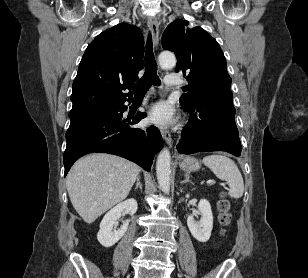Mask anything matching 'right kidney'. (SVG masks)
<instances>
[{
    "mask_svg": "<svg viewBox=\"0 0 308 278\" xmlns=\"http://www.w3.org/2000/svg\"><path fill=\"white\" fill-rule=\"evenodd\" d=\"M138 205L135 199H128L111 209L102 219L100 223V230L97 234L99 243L104 247L113 246L128 229L129 220H126L120 229H114L117 219L121 216L123 211H127L133 215L137 211Z\"/></svg>",
    "mask_w": 308,
    "mask_h": 278,
    "instance_id": "right-kidney-1",
    "label": "right kidney"
}]
</instances>
